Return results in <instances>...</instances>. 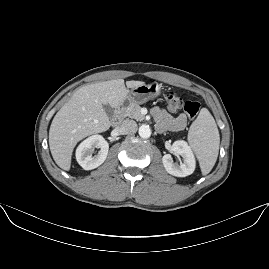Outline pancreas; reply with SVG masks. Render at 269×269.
Masks as SVG:
<instances>
[{"mask_svg":"<svg viewBox=\"0 0 269 269\" xmlns=\"http://www.w3.org/2000/svg\"><path fill=\"white\" fill-rule=\"evenodd\" d=\"M123 117H130L142 121L145 116L141 113V107L138 104L131 103L127 109L122 111Z\"/></svg>","mask_w":269,"mask_h":269,"instance_id":"cf45deb5","label":"pancreas"}]
</instances>
